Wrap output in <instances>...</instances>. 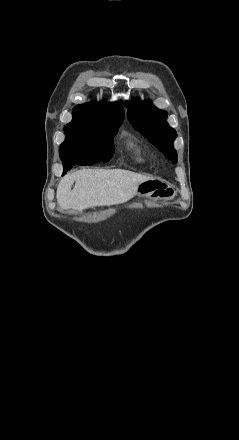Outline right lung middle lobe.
<instances>
[{"label":"right lung middle lobe","mask_w":239,"mask_h":440,"mask_svg":"<svg viewBox=\"0 0 239 440\" xmlns=\"http://www.w3.org/2000/svg\"><path fill=\"white\" fill-rule=\"evenodd\" d=\"M120 124L99 120L75 119L64 127L65 141L60 151L70 147H98L114 150L113 137Z\"/></svg>","instance_id":"1"}]
</instances>
